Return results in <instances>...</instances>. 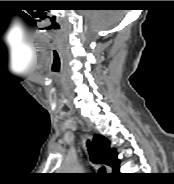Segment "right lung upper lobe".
Here are the masks:
<instances>
[{"mask_svg":"<svg viewBox=\"0 0 174 184\" xmlns=\"http://www.w3.org/2000/svg\"><path fill=\"white\" fill-rule=\"evenodd\" d=\"M94 146L105 165L112 167L116 173L119 169L120 160L117 158L115 149H110L109 140L102 135L96 134L93 138Z\"/></svg>","mask_w":174,"mask_h":184,"instance_id":"right-lung-upper-lobe-1","label":"right lung upper lobe"}]
</instances>
